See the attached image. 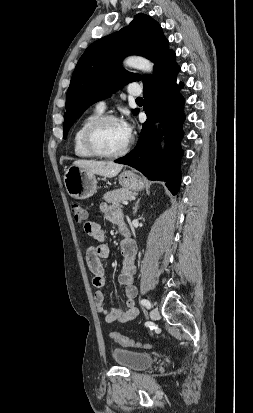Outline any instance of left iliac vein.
Returning <instances> with one entry per match:
<instances>
[{"label": "left iliac vein", "instance_id": "4c4485c4", "mask_svg": "<svg viewBox=\"0 0 253 413\" xmlns=\"http://www.w3.org/2000/svg\"><path fill=\"white\" fill-rule=\"evenodd\" d=\"M151 319L156 321L159 318V312L157 309H152L150 312Z\"/></svg>", "mask_w": 253, "mask_h": 413}]
</instances>
